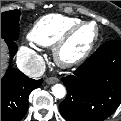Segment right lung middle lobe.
<instances>
[{"instance_id":"obj_1","label":"right lung middle lobe","mask_w":121,"mask_h":121,"mask_svg":"<svg viewBox=\"0 0 121 121\" xmlns=\"http://www.w3.org/2000/svg\"><path fill=\"white\" fill-rule=\"evenodd\" d=\"M20 14L19 10L1 13V38L5 40H17L19 36Z\"/></svg>"}]
</instances>
